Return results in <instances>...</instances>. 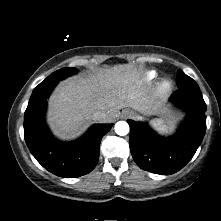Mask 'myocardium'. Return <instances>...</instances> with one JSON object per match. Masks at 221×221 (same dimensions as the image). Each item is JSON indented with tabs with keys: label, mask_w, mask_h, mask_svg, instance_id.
Instances as JSON below:
<instances>
[{
	"label": "myocardium",
	"mask_w": 221,
	"mask_h": 221,
	"mask_svg": "<svg viewBox=\"0 0 221 221\" xmlns=\"http://www.w3.org/2000/svg\"><path fill=\"white\" fill-rule=\"evenodd\" d=\"M171 89V83L169 82V81H164V82H162V84H161V90L163 91V92H167V91H169Z\"/></svg>",
	"instance_id": "1"
}]
</instances>
